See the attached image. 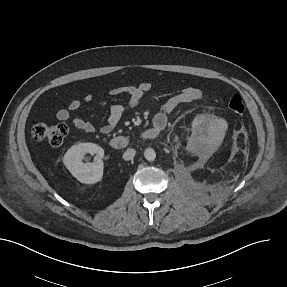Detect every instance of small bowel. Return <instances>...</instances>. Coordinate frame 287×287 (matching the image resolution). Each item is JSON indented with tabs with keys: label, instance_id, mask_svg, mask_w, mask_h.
Segmentation results:
<instances>
[{
	"label": "small bowel",
	"instance_id": "small-bowel-1",
	"mask_svg": "<svg viewBox=\"0 0 287 287\" xmlns=\"http://www.w3.org/2000/svg\"><path fill=\"white\" fill-rule=\"evenodd\" d=\"M151 89V85L148 82H142L138 85H127L112 88L110 93L112 95L124 94L127 96L125 104H114L110 107L109 114L106 122L101 126L100 131L103 134L110 133L118 122L121 120L126 109L136 107L141 101L142 97L148 93ZM202 97V91L193 86L184 87L178 94L167 99L160 107L158 112L153 117L154 127L160 130L164 129L169 120V115L176 110L179 106L191 102H195ZM93 100V94L88 93L84 96L83 102H91ZM82 101L78 99L71 100L65 108L59 109L56 113V117L60 121L71 122L75 128L86 133L95 132V126L75 115V113L81 108Z\"/></svg>",
	"mask_w": 287,
	"mask_h": 287
}]
</instances>
